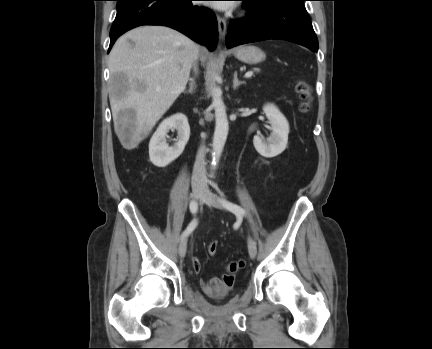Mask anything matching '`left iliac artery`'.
I'll use <instances>...</instances> for the list:
<instances>
[{
	"mask_svg": "<svg viewBox=\"0 0 432 349\" xmlns=\"http://www.w3.org/2000/svg\"><path fill=\"white\" fill-rule=\"evenodd\" d=\"M222 203L228 210L234 212L235 214H241V215L245 214V211L243 210V208H241L237 204L231 203V202L226 201V200H222Z\"/></svg>",
	"mask_w": 432,
	"mask_h": 349,
	"instance_id": "44dca946",
	"label": "left iliac artery"
}]
</instances>
